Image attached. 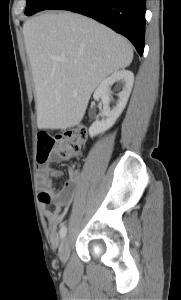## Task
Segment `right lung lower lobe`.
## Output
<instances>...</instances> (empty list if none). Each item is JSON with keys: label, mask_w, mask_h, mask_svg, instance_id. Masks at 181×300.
<instances>
[{"label": "right lung lower lobe", "mask_w": 181, "mask_h": 300, "mask_svg": "<svg viewBox=\"0 0 181 300\" xmlns=\"http://www.w3.org/2000/svg\"><path fill=\"white\" fill-rule=\"evenodd\" d=\"M47 9L91 17L127 37L139 55L144 51L145 0H56Z\"/></svg>", "instance_id": "98d812e1"}]
</instances>
